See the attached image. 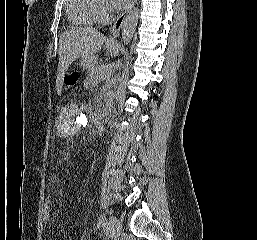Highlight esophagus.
<instances>
[{
  "mask_svg": "<svg viewBox=\"0 0 257 240\" xmlns=\"http://www.w3.org/2000/svg\"><path fill=\"white\" fill-rule=\"evenodd\" d=\"M136 1L137 0H131L128 8L117 17L115 23L113 24V26L111 28V34L107 40L109 43H114L116 41L117 37L120 34V30L123 25V22L127 16V14L129 13V11L135 5Z\"/></svg>",
  "mask_w": 257,
  "mask_h": 240,
  "instance_id": "34e87169",
  "label": "esophagus"
}]
</instances>
